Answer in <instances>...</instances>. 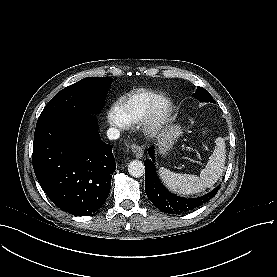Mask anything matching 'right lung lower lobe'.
<instances>
[{
  "mask_svg": "<svg viewBox=\"0 0 277 277\" xmlns=\"http://www.w3.org/2000/svg\"><path fill=\"white\" fill-rule=\"evenodd\" d=\"M112 148L100 139L93 116L37 122L34 172L60 209L75 216H88L105 203L110 192L116 169Z\"/></svg>",
  "mask_w": 277,
  "mask_h": 277,
  "instance_id": "right-lung-lower-lobe-1",
  "label": "right lung lower lobe"
}]
</instances>
